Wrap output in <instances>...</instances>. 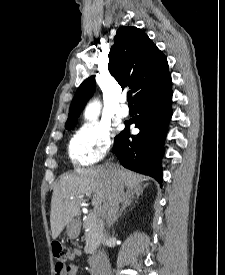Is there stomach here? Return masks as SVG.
<instances>
[{"label":"stomach","instance_id":"obj_1","mask_svg":"<svg viewBox=\"0 0 225 275\" xmlns=\"http://www.w3.org/2000/svg\"><path fill=\"white\" fill-rule=\"evenodd\" d=\"M79 229L80 225L78 222L72 220L68 225H67V235L70 239H74L78 236L79 234Z\"/></svg>","mask_w":225,"mask_h":275}]
</instances>
